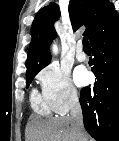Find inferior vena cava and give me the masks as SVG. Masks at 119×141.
<instances>
[{
	"label": "inferior vena cava",
	"mask_w": 119,
	"mask_h": 141,
	"mask_svg": "<svg viewBox=\"0 0 119 141\" xmlns=\"http://www.w3.org/2000/svg\"><path fill=\"white\" fill-rule=\"evenodd\" d=\"M69 105H70V119L74 125V129L77 133L79 141H86L84 138V126H83V116L82 110L79 103V99L77 93L73 92L69 98Z\"/></svg>",
	"instance_id": "obj_1"
}]
</instances>
